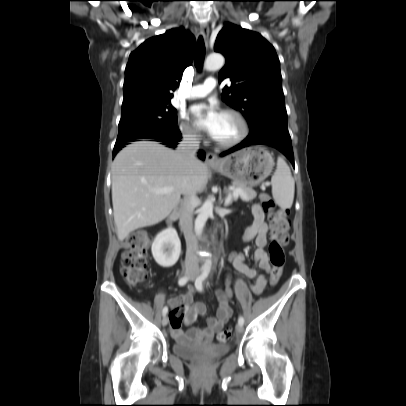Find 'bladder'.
<instances>
[{
    "instance_id": "1",
    "label": "bladder",
    "mask_w": 406,
    "mask_h": 406,
    "mask_svg": "<svg viewBox=\"0 0 406 406\" xmlns=\"http://www.w3.org/2000/svg\"><path fill=\"white\" fill-rule=\"evenodd\" d=\"M173 353L181 358L197 359L202 355L209 357H219L229 352V346H216L204 348L189 342H175L172 346Z\"/></svg>"
}]
</instances>
